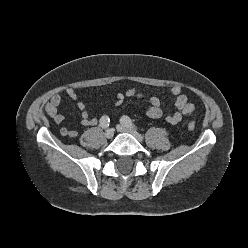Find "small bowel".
<instances>
[{
  "label": "small bowel",
  "instance_id": "small-bowel-1",
  "mask_svg": "<svg viewBox=\"0 0 248 248\" xmlns=\"http://www.w3.org/2000/svg\"><path fill=\"white\" fill-rule=\"evenodd\" d=\"M66 94L72 100H78V94L74 88H67ZM170 95L175 98L176 111L173 114L165 116V119L170 124H178L183 119L191 116L195 110L193 103L188 101L187 96L183 93L182 88L174 86L170 89ZM143 94L137 91L136 88H130L125 93H117L115 97V104L121 105L125 98L142 97ZM62 102L61 92L55 93L49 101L45 104L46 114L54 121L55 124L59 125L64 121V115L59 112V107ZM77 108L80 111V123L83 126H95L98 123L96 117H92L87 110L86 105L78 101ZM146 115L152 119H158L163 116L161 109V101L157 96H151L149 98V106L146 110ZM100 122V121H99ZM60 134L62 136L75 138L78 136V131L75 129H69L67 127L60 128Z\"/></svg>",
  "mask_w": 248,
  "mask_h": 248
}]
</instances>
